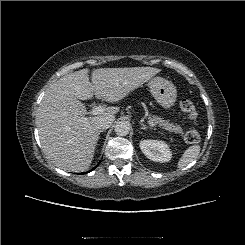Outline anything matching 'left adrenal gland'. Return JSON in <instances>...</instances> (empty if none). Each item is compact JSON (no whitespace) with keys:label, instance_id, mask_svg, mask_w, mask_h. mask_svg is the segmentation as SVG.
<instances>
[{"label":"left adrenal gland","instance_id":"a2214340","mask_svg":"<svg viewBox=\"0 0 245 245\" xmlns=\"http://www.w3.org/2000/svg\"><path fill=\"white\" fill-rule=\"evenodd\" d=\"M139 124L141 125V129H143V130H146V129H152V127H147V126H145L142 122H139Z\"/></svg>","mask_w":245,"mask_h":245}]
</instances>
